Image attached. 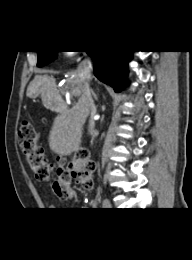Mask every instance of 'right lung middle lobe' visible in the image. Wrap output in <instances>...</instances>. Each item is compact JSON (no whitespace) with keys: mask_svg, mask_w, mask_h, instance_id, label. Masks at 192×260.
I'll return each instance as SVG.
<instances>
[{"mask_svg":"<svg viewBox=\"0 0 192 260\" xmlns=\"http://www.w3.org/2000/svg\"><path fill=\"white\" fill-rule=\"evenodd\" d=\"M57 57V51H38V67H42Z\"/></svg>","mask_w":192,"mask_h":260,"instance_id":"dd1d6c3e","label":"right lung middle lobe"}]
</instances>
